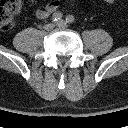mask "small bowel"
<instances>
[{
    "label": "small bowel",
    "mask_w": 128,
    "mask_h": 128,
    "mask_svg": "<svg viewBox=\"0 0 128 128\" xmlns=\"http://www.w3.org/2000/svg\"><path fill=\"white\" fill-rule=\"evenodd\" d=\"M31 3H34L35 0H29ZM60 5V0H51L47 4L43 5L36 11V17L38 19H46L52 13H54Z\"/></svg>",
    "instance_id": "c3829d8e"
}]
</instances>
